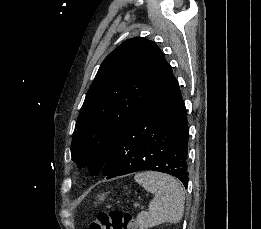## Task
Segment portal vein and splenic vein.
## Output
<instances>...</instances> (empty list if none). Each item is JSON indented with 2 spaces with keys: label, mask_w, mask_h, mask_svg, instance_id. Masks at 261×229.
Segmentation results:
<instances>
[{
  "label": "portal vein and splenic vein",
  "mask_w": 261,
  "mask_h": 229,
  "mask_svg": "<svg viewBox=\"0 0 261 229\" xmlns=\"http://www.w3.org/2000/svg\"><path fill=\"white\" fill-rule=\"evenodd\" d=\"M133 207H134V208H138V207H139V204H138V203H134V204H133ZM141 207H148V204H141Z\"/></svg>",
  "instance_id": "portal-vein-and-splenic-vein-1"
}]
</instances>
